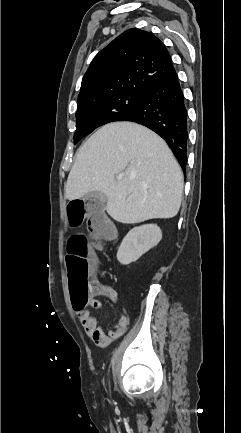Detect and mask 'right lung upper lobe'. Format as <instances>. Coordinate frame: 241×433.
I'll return each mask as SVG.
<instances>
[{
  "label": "right lung upper lobe",
  "instance_id": "cb5924a9",
  "mask_svg": "<svg viewBox=\"0 0 241 433\" xmlns=\"http://www.w3.org/2000/svg\"><path fill=\"white\" fill-rule=\"evenodd\" d=\"M176 73L169 52L151 33L129 29L92 60L81 83L78 103L145 89Z\"/></svg>",
  "mask_w": 241,
  "mask_h": 433
}]
</instances>
